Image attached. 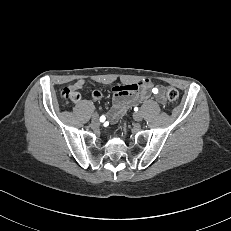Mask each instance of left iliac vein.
<instances>
[{
  "instance_id": "left-iliac-vein-1",
  "label": "left iliac vein",
  "mask_w": 231,
  "mask_h": 231,
  "mask_svg": "<svg viewBox=\"0 0 231 231\" xmlns=\"http://www.w3.org/2000/svg\"><path fill=\"white\" fill-rule=\"evenodd\" d=\"M133 118L135 121L140 122L143 119V115L141 112H136L134 113Z\"/></svg>"
}]
</instances>
